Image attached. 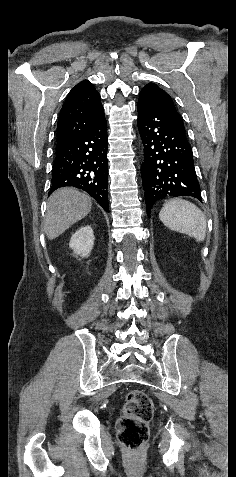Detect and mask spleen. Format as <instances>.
<instances>
[{
  "label": "spleen",
  "instance_id": "spleen-1",
  "mask_svg": "<svg viewBox=\"0 0 236 477\" xmlns=\"http://www.w3.org/2000/svg\"><path fill=\"white\" fill-rule=\"evenodd\" d=\"M162 223L169 229L185 233L201 242L206 237L207 222L204 213L193 203L173 199L159 213Z\"/></svg>",
  "mask_w": 236,
  "mask_h": 477
}]
</instances>
